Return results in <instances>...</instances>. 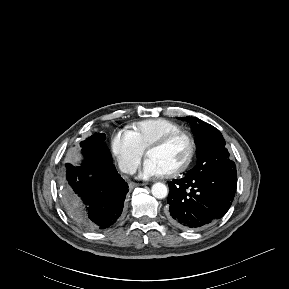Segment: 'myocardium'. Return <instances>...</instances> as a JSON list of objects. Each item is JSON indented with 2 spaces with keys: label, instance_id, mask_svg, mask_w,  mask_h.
Instances as JSON below:
<instances>
[{
  "label": "myocardium",
  "instance_id": "obj_1",
  "mask_svg": "<svg viewBox=\"0 0 289 289\" xmlns=\"http://www.w3.org/2000/svg\"><path fill=\"white\" fill-rule=\"evenodd\" d=\"M181 137L185 138L188 141V144H189L188 154H187L185 160L178 167L165 173V176H167V177L178 176L188 169V167L192 163L194 156H195V153H196V141H195L194 137L190 133L183 131V130H180V131L169 133V134L159 138L158 140L154 141L146 148L145 154L147 156L150 151L162 148V147L168 145L169 143H171L172 141H174L175 139H178Z\"/></svg>",
  "mask_w": 289,
  "mask_h": 289
}]
</instances>
